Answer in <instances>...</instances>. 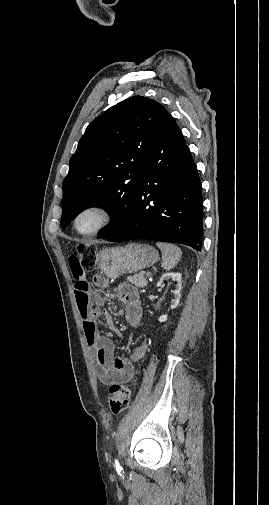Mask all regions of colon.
Returning <instances> with one entry per match:
<instances>
[{
  "mask_svg": "<svg viewBox=\"0 0 269 505\" xmlns=\"http://www.w3.org/2000/svg\"><path fill=\"white\" fill-rule=\"evenodd\" d=\"M97 247L91 244H80L76 255L69 258L79 259L85 273H91L96 265ZM131 390L122 384H112L109 388L108 404L113 414L123 412L131 402Z\"/></svg>",
  "mask_w": 269,
  "mask_h": 505,
  "instance_id": "colon-1",
  "label": "colon"
}]
</instances>
